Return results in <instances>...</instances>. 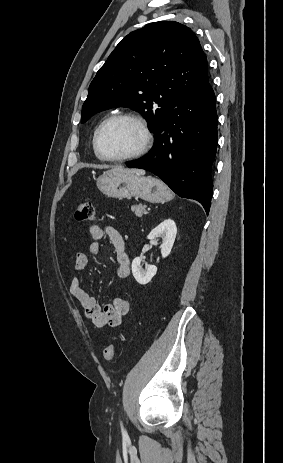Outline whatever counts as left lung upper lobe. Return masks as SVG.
Wrapping results in <instances>:
<instances>
[{
	"mask_svg": "<svg viewBox=\"0 0 283 463\" xmlns=\"http://www.w3.org/2000/svg\"><path fill=\"white\" fill-rule=\"evenodd\" d=\"M208 79L207 59L187 26L160 21L119 42L89 86L81 123L97 112L125 106L155 131L173 106Z\"/></svg>",
	"mask_w": 283,
	"mask_h": 463,
	"instance_id": "5c2ea615",
	"label": "left lung upper lobe"
}]
</instances>
